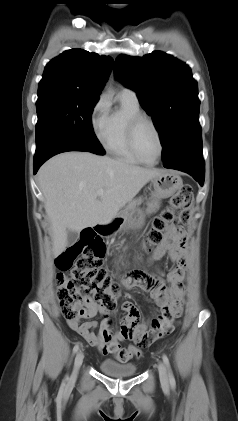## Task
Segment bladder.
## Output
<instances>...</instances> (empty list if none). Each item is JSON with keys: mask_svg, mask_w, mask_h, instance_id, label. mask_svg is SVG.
<instances>
[{"mask_svg": "<svg viewBox=\"0 0 238 421\" xmlns=\"http://www.w3.org/2000/svg\"><path fill=\"white\" fill-rule=\"evenodd\" d=\"M99 368L104 374L115 378L131 377L137 372L136 365L132 363L122 364L112 359L102 360L99 363Z\"/></svg>", "mask_w": 238, "mask_h": 421, "instance_id": "1", "label": "bladder"}]
</instances>
